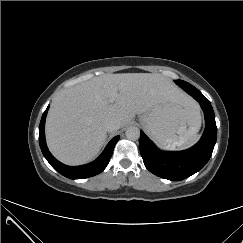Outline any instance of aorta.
Listing matches in <instances>:
<instances>
[{"mask_svg":"<svg viewBox=\"0 0 243 243\" xmlns=\"http://www.w3.org/2000/svg\"><path fill=\"white\" fill-rule=\"evenodd\" d=\"M125 134L129 140H138L140 137V130L135 126H131L126 130Z\"/></svg>","mask_w":243,"mask_h":243,"instance_id":"obj_1","label":"aorta"}]
</instances>
